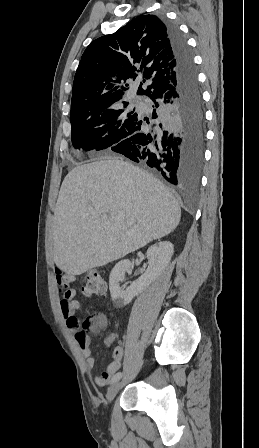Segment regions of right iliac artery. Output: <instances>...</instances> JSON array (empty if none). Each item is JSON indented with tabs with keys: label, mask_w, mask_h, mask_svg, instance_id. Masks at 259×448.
<instances>
[{
	"label": "right iliac artery",
	"mask_w": 259,
	"mask_h": 448,
	"mask_svg": "<svg viewBox=\"0 0 259 448\" xmlns=\"http://www.w3.org/2000/svg\"><path fill=\"white\" fill-rule=\"evenodd\" d=\"M121 376H122L121 372L116 373L111 379V384L117 382L121 378Z\"/></svg>",
	"instance_id": "1"
}]
</instances>
